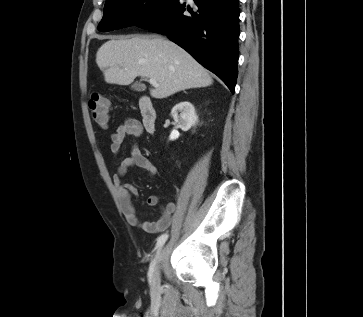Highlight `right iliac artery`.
Instances as JSON below:
<instances>
[{"label":"right iliac artery","mask_w":363,"mask_h":317,"mask_svg":"<svg viewBox=\"0 0 363 317\" xmlns=\"http://www.w3.org/2000/svg\"><path fill=\"white\" fill-rule=\"evenodd\" d=\"M167 238H168V234H162L160 237H158L157 243H156L157 250H159L163 246V244L166 242ZM153 266H154V261H152V263L150 265L149 277H151V274L153 271Z\"/></svg>","instance_id":"1"}]
</instances>
